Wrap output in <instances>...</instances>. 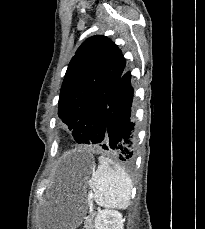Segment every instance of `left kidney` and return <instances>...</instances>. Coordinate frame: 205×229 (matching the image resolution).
<instances>
[{
	"label": "left kidney",
	"instance_id": "obj_1",
	"mask_svg": "<svg viewBox=\"0 0 205 229\" xmlns=\"http://www.w3.org/2000/svg\"><path fill=\"white\" fill-rule=\"evenodd\" d=\"M123 216L117 210H99L95 218V229H123Z\"/></svg>",
	"mask_w": 205,
	"mask_h": 229
}]
</instances>
